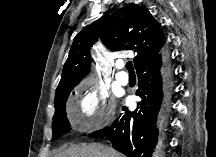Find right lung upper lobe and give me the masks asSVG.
Instances as JSON below:
<instances>
[{
	"mask_svg": "<svg viewBox=\"0 0 216 157\" xmlns=\"http://www.w3.org/2000/svg\"><path fill=\"white\" fill-rule=\"evenodd\" d=\"M98 37L112 51L138 52L133 59L136 69L156 58L166 42L161 25L145 7L133 3L123 6L75 36L55 98L65 89H73L90 71V47Z\"/></svg>",
	"mask_w": 216,
	"mask_h": 157,
	"instance_id": "cb5924a9",
	"label": "right lung upper lobe"
}]
</instances>
